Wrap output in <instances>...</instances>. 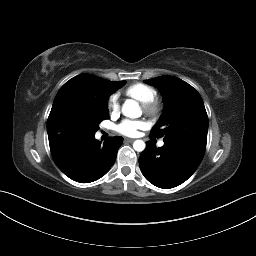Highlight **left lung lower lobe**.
<instances>
[{
  "mask_svg": "<svg viewBox=\"0 0 256 256\" xmlns=\"http://www.w3.org/2000/svg\"><path fill=\"white\" fill-rule=\"evenodd\" d=\"M203 156L183 148L164 144L156 148L150 141L141 153L139 165L144 177L153 185L170 189L186 181L198 168Z\"/></svg>",
  "mask_w": 256,
  "mask_h": 256,
  "instance_id": "left-lung-lower-lobe-1",
  "label": "left lung lower lobe"
}]
</instances>
